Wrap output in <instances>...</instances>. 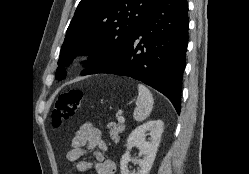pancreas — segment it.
<instances>
[{
  "label": "pancreas",
  "mask_w": 249,
  "mask_h": 174,
  "mask_svg": "<svg viewBox=\"0 0 249 174\" xmlns=\"http://www.w3.org/2000/svg\"><path fill=\"white\" fill-rule=\"evenodd\" d=\"M108 129L110 130V137L113 141L118 142L119 141V133H122L125 130V126L121 123L115 124V123H109L107 125Z\"/></svg>",
  "instance_id": "1"
}]
</instances>
